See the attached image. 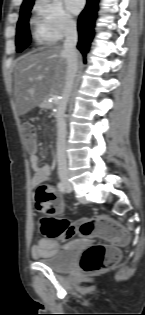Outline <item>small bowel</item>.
<instances>
[{
	"instance_id": "small-bowel-1",
	"label": "small bowel",
	"mask_w": 145,
	"mask_h": 315,
	"mask_svg": "<svg viewBox=\"0 0 145 315\" xmlns=\"http://www.w3.org/2000/svg\"><path fill=\"white\" fill-rule=\"evenodd\" d=\"M29 160L31 167L34 170V174L31 180L33 186H36L51 177V166L49 164L40 165L39 158L35 153H31ZM56 238L57 237L47 236L40 239L39 242L32 247V256L36 259L48 258L53 256L57 252L59 247Z\"/></svg>"
}]
</instances>
